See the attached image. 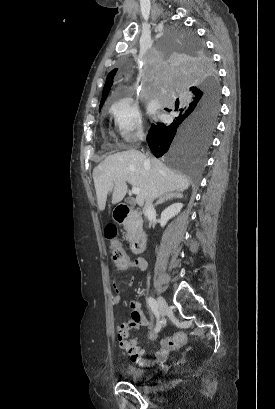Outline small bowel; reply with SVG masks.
Here are the masks:
<instances>
[{
    "label": "small bowel",
    "instance_id": "1",
    "mask_svg": "<svg viewBox=\"0 0 275 409\" xmlns=\"http://www.w3.org/2000/svg\"><path fill=\"white\" fill-rule=\"evenodd\" d=\"M143 265L139 263L138 261H133L130 260L129 263L126 265V270L127 269H136V268H142ZM115 272V271H114ZM112 279L115 280L113 282V287L114 288H119L120 287V282L118 281L119 279V274L118 273H113L112 274ZM117 280V281H116ZM128 283L129 284H134L135 283V278L134 277H129L128 278ZM114 303H120L121 302V296L117 294L115 298L113 299ZM129 306L133 309L130 310L129 315L133 319H128L125 323H120L119 324V332H118V339L120 340V349L122 351H131L130 352V359L136 362L140 366L144 367H149L154 365L155 363H164L167 360L168 352L166 349L161 348L156 352L155 359H150L147 358L144 355V351L140 349L138 345L139 340L137 337H130L127 335L130 331V328H144L149 326V321L148 319L144 316V314L141 312L140 313V302L139 301H131L129 303ZM143 318L147 319L144 320ZM151 338H154V335H150ZM129 339V340H128Z\"/></svg>",
    "mask_w": 275,
    "mask_h": 409
}]
</instances>
